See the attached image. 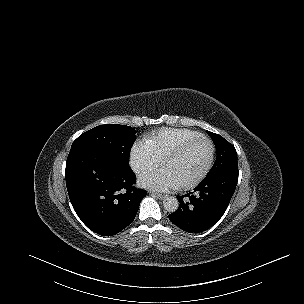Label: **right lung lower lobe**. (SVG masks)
Masks as SVG:
<instances>
[{
	"instance_id": "obj_1",
	"label": "right lung lower lobe",
	"mask_w": 304,
	"mask_h": 304,
	"mask_svg": "<svg viewBox=\"0 0 304 304\" xmlns=\"http://www.w3.org/2000/svg\"><path fill=\"white\" fill-rule=\"evenodd\" d=\"M66 185L72 206L93 232L112 236L135 218L147 192L136 189L131 168H117L111 153L90 147L70 150Z\"/></svg>"
}]
</instances>
